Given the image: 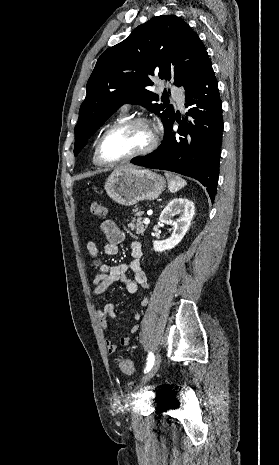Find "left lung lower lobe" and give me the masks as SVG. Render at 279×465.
I'll list each match as a JSON object with an SVG mask.
<instances>
[{
	"label": "left lung lower lobe",
	"instance_id": "left-lung-lower-lobe-1",
	"mask_svg": "<svg viewBox=\"0 0 279 465\" xmlns=\"http://www.w3.org/2000/svg\"><path fill=\"white\" fill-rule=\"evenodd\" d=\"M184 89L185 106H191L187 115L194 121L184 119V122H179L176 119L180 125L175 133L172 132L174 118L158 149L147 156L134 158L131 162L192 177L207 188L211 201H214L223 121L217 81L207 52Z\"/></svg>",
	"mask_w": 279,
	"mask_h": 465
}]
</instances>
